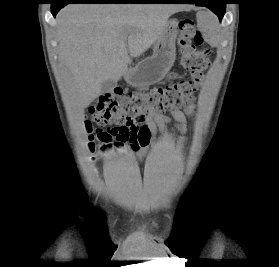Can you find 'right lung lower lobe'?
Wrapping results in <instances>:
<instances>
[{"label": "right lung lower lobe", "instance_id": "98d812e1", "mask_svg": "<svg viewBox=\"0 0 279 267\" xmlns=\"http://www.w3.org/2000/svg\"><path fill=\"white\" fill-rule=\"evenodd\" d=\"M164 0H54L51 11L55 17L58 11L69 3H161Z\"/></svg>", "mask_w": 279, "mask_h": 267}]
</instances>
